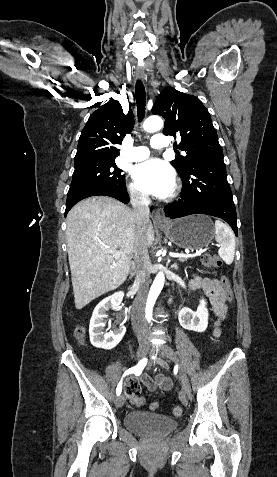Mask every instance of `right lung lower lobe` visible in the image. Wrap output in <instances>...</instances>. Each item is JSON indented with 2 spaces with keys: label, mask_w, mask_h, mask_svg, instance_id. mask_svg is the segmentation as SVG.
<instances>
[{
  "label": "right lung lower lobe",
  "mask_w": 277,
  "mask_h": 477,
  "mask_svg": "<svg viewBox=\"0 0 277 477\" xmlns=\"http://www.w3.org/2000/svg\"><path fill=\"white\" fill-rule=\"evenodd\" d=\"M98 195H103V196H110L113 198L118 199L119 201L127 204L129 202V196L127 193L126 188L125 189H109V188H98L94 189L91 191H88L82 195H80L78 198L73 200L70 204H66V210H65V216L69 212V210L79 201L82 199H85L87 197L91 196H98Z\"/></svg>",
  "instance_id": "1"
}]
</instances>
